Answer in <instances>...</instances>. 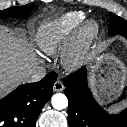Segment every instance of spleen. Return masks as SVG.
Listing matches in <instances>:
<instances>
[{
	"label": "spleen",
	"instance_id": "3e777b00",
	"mask_svg": "<svg viewBox=\"0 0 127 127\" xmlns=\"http://www.w3.org/2000/svg\"><path fill=\"white\" fill-rule=\"evenodd\" d=\"M119 107H120V104H116V105H113L110 109H111L112 111H116V110L119 109Z\"/></svg>",
	"mask_w": 127,
	"mask_h": 127
}]
</instances>
